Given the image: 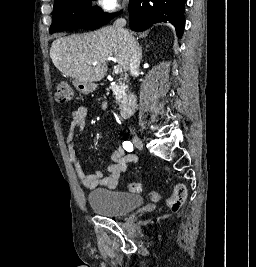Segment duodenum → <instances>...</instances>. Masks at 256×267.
Segmentation results:
<instances>
[{
  "instance_id": "1",
  "label": "duodenum",
  "mask_w": 256,
  "mask_h": 267,
  "mask_svg": "<svg viewBox=\"0 0 256 267\" xmlns=\"http://www.w3.org/2000/svg\"><path fill=\"white\" fill-rule=\"evenodd\" d=\"M98 78H75L74 89L80 90V94H94L95 83L98 85ZM98 88L97 86L95 87ZM136 96L133 93H128L119 105V114L123 118H128L133 114Z\"/></svg>"
}]
</instances>
